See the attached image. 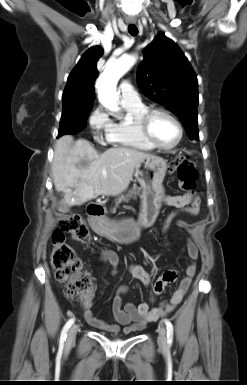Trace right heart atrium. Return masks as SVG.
<instances>
[{
    "label": "right heart atrium",
    "instance_id": "right-heart-atrium-1",
    "mask_svg": "<svg viewBox=\"0 0 247 385\" xmlns=\"http://www.w3.org/2000/svg\"><path fill=\"white\" fill-rule=\"evenodd\" d=\"M93 135L97 140L107 139L108 133L112 127V121L107 112L102 107L95 108L88 119Z\"/></svg>",
    "mask_w": 247,
    "mask_h": 385
}]
</instances>
